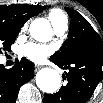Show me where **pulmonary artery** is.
Here are the masks:
<instances>
[{"instance_id":"pulmonary-artery-1","label":"pulmonary artery","mask_w":103,"mask_h":103,"mask_svg":"<svg viewBox=\"0 0 103 103\" xmlns=\"http://www.w3.org/2000/svg\"><path fill=\"white\" fill-rule=\"evenodd\" d=\"M67 28H68L67 22H63V23L57 25L56 27H54V31L58 36H61L65 33Z\"/></svg>"}]
</instances>
